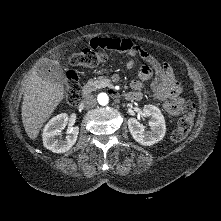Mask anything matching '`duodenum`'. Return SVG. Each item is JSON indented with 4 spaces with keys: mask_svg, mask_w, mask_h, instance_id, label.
Segmentation results:
<instances>
[{
    "mask_svg": "<svg viewBox=\"0 0 221 221\" xmlns=\"http://www.w3.org/2000/svg\"><path fill=\"white\" fill-rule=\"evenodd\" d=\"M90 93V88L88 86H85L82 91V97H87ZM124 99L127 101H134L137 99L136 95L133 92H128L124 95Z\"/></svg>",
    "mask_w": 221,
    "mask_h": 221,
    "instance_id": "1",
    "label": "duodenum"
}]
</instances>
